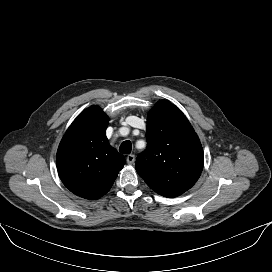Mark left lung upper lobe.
Here are the masks:
<instances>
[{
    "instance_id": "obj_1",
    "label": "left lung upper lobe",
    "mask_w": 272,
    "mask_h": 272,
    "mask_svg": "<svg viewBox=\"0 0 272 272\" xmlns=\"http://www.w3.org/2000/svg\"><path fill=\"white\" fill-rule=\"evenodd\" d=\"M147 149L136 160V171L158 194L171 198L190 189L204 162L193 127L172 103L161 100L147 118Z\"/></svg>"
}]
</instances>
